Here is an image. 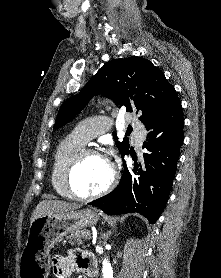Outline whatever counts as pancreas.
Returning a JSON list of instances; mask_svg holds the SVG:
<instances>
[{
  "label": "pancreas",
  "instance_id": "cf45deb5",
  "mask_svg": "<svg viewBox=\"0 0 221 278\" xmlns=\"http://www.w3.org/2000/svg\"><path fill=\"white\" fill-rule=\"evenodd\" d=\"M91 237V233L88 230H83L80 232H74L71 233L69 236L66 237V240H64L63 242L65 243L66 241L70 244H75L77 243L78 245L82 244V239L84 240H88Z\"/></svg>",
  "mask_w": 221,
  "mask_h": 278
}]
</instances>
